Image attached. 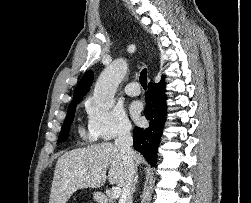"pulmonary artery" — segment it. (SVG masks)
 Here are the masks:
<instances>
[{"label": "pulmonary artery", "mask_w": 251, "mask_h": 203, "mask_svg": "<svg viewBox=\"0 0 251 203\" xmlns=\"http://www.w3.org/2000/svg\"><path fill=\"white\" fill-rule=\"evenodd\" d=\"M124 91L131 96L140 94V88L137 82H130L124 87Z\"/></svg>", "instance_id": "pulmonary-artery-1"}]
</instances>
